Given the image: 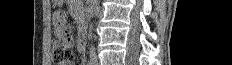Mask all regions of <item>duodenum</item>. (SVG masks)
I'll list each match as a JSON object with an SVG mask.
<instances>
[{
  "label": "duodenum",
  "mask_w": 232,
  "mask_h": 65,
  "mask_svg": "<svg viewBox=\"0 0 232 65\" xmlns=\"http://www.w3.org/2000/svg\"><path fill=\"white\" fill-rule=\"evenodd\" d=\"M81 41L83 44L87 42V29L85 27L81 30Z\"/></svg>",
  "instance_id": "410a0bca"
}]
</instances>
